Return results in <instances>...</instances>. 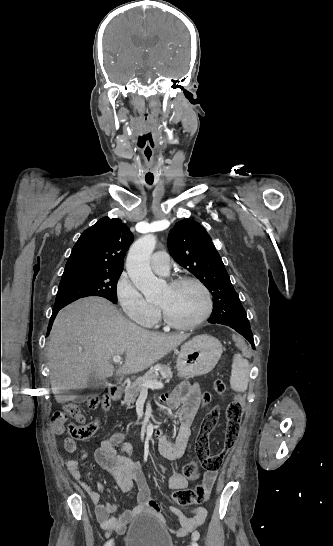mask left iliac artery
I'll return each mask as SVG.
<instances>
[{"instance_id":"1","label":"left iliac artery","mask_w":333,"mask_h":546,"mask_svg":"<svg viewBox=\"0 0 333 546\" xmlns=\"http://www.w3.org/2000/svg\"><path fill=\"white\" fill-rule=\"evenodd\" d=\"M192 546H199V545L196 542H193Z\"/></svg>"}]
</instances>
